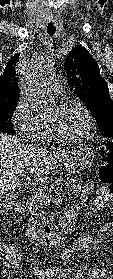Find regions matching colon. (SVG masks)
Segmentation results:
<instances>
[{
  "label": "colon",
  "mask_w": 113,
  "mask_h": 279,
  "mask_svg": "<svg viewBox=\"0 0 113 279\" xmlns=\"http://www.w3.org/2000/svg\"><path fill=\"white\" fill-rule=\"evenodd\" d=\"M103 157L104 160L98 172L100 188L103 192L113 195V144L103 148ZM0 251H3V254H0V276H2L5 267L11 265L15 258L20 257V254L16 249L6 250L1 246Z\"/></svg>",
  "instance_id": "1"
}]
</instances>
